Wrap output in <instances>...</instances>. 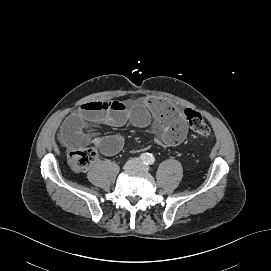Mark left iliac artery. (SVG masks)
<instances>
[{"instance_id":"obj_1","label":"left iliac artery","mask_w":271,"mask_h":271,"mask_svg":"<svg viewBox=\"0 0 271 271\" xmlns=\"http://www.w3.org/2000/svg\"><path fill=\"white\" fill-rule=\"evenodd\" d=\"M154 163H155V157L152 154H150L146 164L153 165Z\"/></svg>"}]
</instances>
